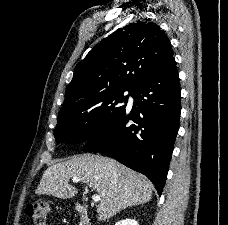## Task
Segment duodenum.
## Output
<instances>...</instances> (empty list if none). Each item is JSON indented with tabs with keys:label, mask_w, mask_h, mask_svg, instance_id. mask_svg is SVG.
Segmentation results:
<instances>
[{
	"label": "duodenum",
	"mask_w": 228,
	"mask_h": 225,
	"mask_svg": "<svg viewBox=\"0 0 228 225\" xmlns=\"http://www.w3.org/2000/svg\"><path fill=\"white\" fill-rule=\"evenodd\" d=\"M75 209L78 214L77 225H91V219L88 212L81 202L75 204Z\"/></svg>",
	"instance_id": "1"
}]
</instances>
